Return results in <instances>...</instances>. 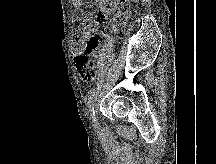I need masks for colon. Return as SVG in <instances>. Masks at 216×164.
<instances>
[{"label": "colon", "mask_w": 216, "mask_h": 164, "mask_svg": "<svg viewBox=\"0 0 216 164\" xmlns=\"http://www.w3.org/2000/svg\"><path fill=\"white\" fill-rule=\"evenodd\" d=\"M130 0H105L96 15H90L84 20L83 31L73 38V51L76 54L75 64L81 78L86 82L95 79L100 53L99 40L96 31L104 20L111 14L117 29H122L130 12Z\"/></svg>", "instance_id": "1"}]
</instances>
